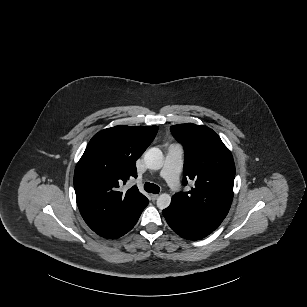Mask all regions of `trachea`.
I'll return each instance as SVG.
<instances>
[{
  "label": "trachea",
  "mask_w": 307,
  "mask_h": 307,
  "mask_svg": "<svg viewBox=\"0 0 307 307\" xmlns=\"http://www.w3.org/2000/svg\"><path fill=\"white\" fill-rule=\"evenodd\" d=\"M144 189L146 192L148 193H154V194H158L160 192V187L153 184V183H149V182H146L144 184Z\"/></svg>",
  "instance_id": "trachea-1"
}]
</instances>
